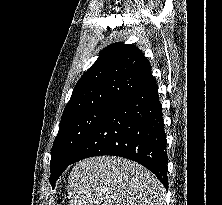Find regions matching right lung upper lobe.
Wrapping results in <instances>:
<instances>
[{"label": "right lung upper lobe", "instance_id": "1", "mask_svg": "<svg viewBox=\"0 0 222 205\" xmlns=\"http://www.w3.org/2000/svg\"><path fill=\"white\" fill-rule=\"evenodd\" d=\"M151 66L136 46L116 43L104 48L76 84L62 118L117 104L132 91L152 82Z\"/></svg>", "mask_w": 222, "mask_h": 205}]
</instances>
